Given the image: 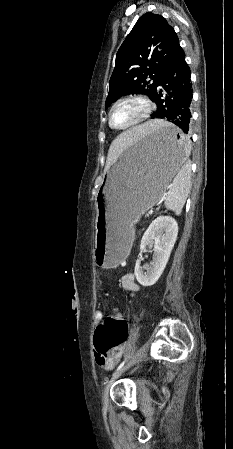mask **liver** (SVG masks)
<instances>
[{"instance_id": "obj_1", "label": "liver", "mask_w": 233, "mask_h": 449, "mask_svg": "<svg viewBox=\"0 0 233 449\" xmlns=\"http://www.w3.org/2000/svg\"><path fill=\"white\" fill-rule=\"evenodd\" d=\"M164 123L166 122L162 120H150L123 133H117L108 151L107 167H110L135 142H141L143 135Z\"/></svg>"}]
</instances>
